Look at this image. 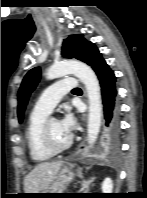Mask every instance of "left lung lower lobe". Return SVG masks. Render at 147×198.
I'll use <instances>...</instances> for the list:
<instances>
[{"label": "left lung lower lobe", "instance_id": "1", "mask_svg": "<svg viewBox=\"0 0 147 198\" xmlns=\"http://www.w3.org/2000/svg\"><path fill=\"white\" fill-rule=\"evenodd\" d=\"M84 62L93 68L100 81L105 116V155L115 158L120 151V110L116 78L94 44L89 47Z\"/></svg>", "mask_w": 147, "mask_h": 198}]
</instances>
